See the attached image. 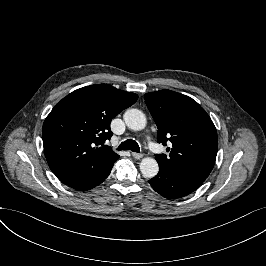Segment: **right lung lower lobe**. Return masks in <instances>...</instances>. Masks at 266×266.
<instances>
[{
	"label": "right lung lower lobe",
	"mask_w": 266,
	"mask_h": 266,
	"mask_svg": "<svg viewBox=\"0 0 266 266\" xmlns=\"http://www.w3.org/2000/svg\"><path fill=\"white\" fill-rule=\"evenodd\" d=\"M113 166V165H112ZM112 166L97 172L95 174H90L88 176L83 177L79 181L69 185L70 187L78 190V191H86L89 189L94 188L95 186L99 185L103 180H105L108 175L110 174V171L112 169Z\"/></svg>",
	"instance_id": "98d812e1"
}]
</instances>
